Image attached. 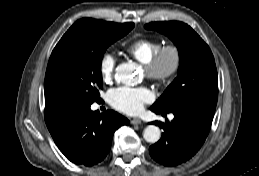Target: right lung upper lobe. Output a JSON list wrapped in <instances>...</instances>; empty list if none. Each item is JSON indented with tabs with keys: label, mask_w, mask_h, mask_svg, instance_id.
<instances>
[{
	"label": "right lung upper lobe",
	"mask_w": 259,
	"mask_h": 176,
	"mask_svg": "<svg viewBox=\"0 0 259 176\" xmlns=\"http://www.w3.org/2000/svg\"><path fill=\"white\" fill-rule=\"evenodd\" d=\"M45 110H50L58 104L65 102L61 89L47 69L44 83Z\"/></svg>",
	"instance_id": "cb5924a9"
}]
</instances>
